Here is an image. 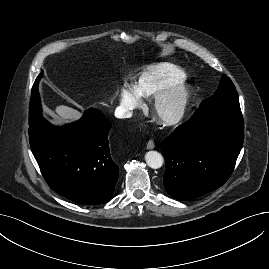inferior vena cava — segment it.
Wrapping results in <instances>:
<instances>
[{
    "instance_id": "602c4592",
    "label": "inferior vena cava",
    "mask_w": 269,
    "mask_h": 269,
    "mask_svg": "<svg viewBox=\"0 0 269 269\" xmlns=\"http://www.w3.org/2000/svg\"><path fill=\"white\" fill-rule=\"evenodd\" d=\"M115 116L117 118H130L132 116V112L128 111V110H125V109H122V108H117L115 110Z\"/></svg>"
}]
</instances>
